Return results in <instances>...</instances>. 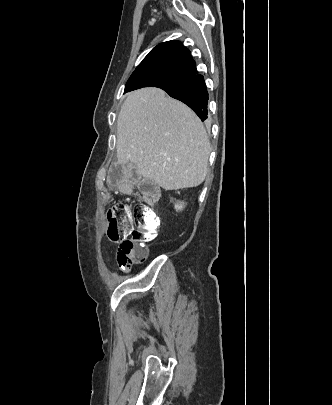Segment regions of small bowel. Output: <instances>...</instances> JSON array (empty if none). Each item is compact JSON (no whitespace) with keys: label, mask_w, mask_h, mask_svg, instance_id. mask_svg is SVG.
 <instances>
[{"label":"small bowel","mask_w":332,"mask_h":405,"mask_svg":"<svg viewBox=\"0 0 332 405\" xmlns=\"http://www.w3.org/2000/svg\"><path fill=\"white\" fill-rule=\"evenodd\" d=\"M109 186H142V172H130L125 162H112L111 172H105Z\"/></svg>","instance_id":"small-bowel-1"}]
</instances>
